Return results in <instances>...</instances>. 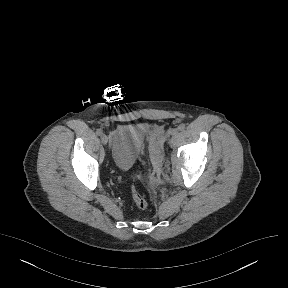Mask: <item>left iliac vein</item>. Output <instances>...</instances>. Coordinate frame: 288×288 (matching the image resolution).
I'll use <instances>...</instances> for the list:
<instances>
[{
  "mask_svg": "<svg viewBox=\"0 0 288 288\" xmlns=\"http://www.w3.org/2000/svg\"><path fill=\"white\" fill-rule=\"evenodd\" d=\"M177 132H178L177 129H171V130L169 131V135H175V134H177Z\"/></svg>",
  "mask_w": 288,
  "mask_h": 288,
  "instance_id": "left-iliac-vein-1",
  "label": "left iliac vein"
}]
</instances>
